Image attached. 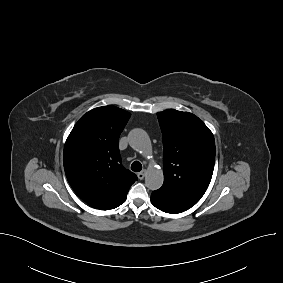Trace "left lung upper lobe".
<instances>
[{
	"instance_id": "5c2ea615",
	"label": "left lung upper lobe",
	"mask_w": 283,
	"mask_h": 283,
	"mask_svg": "<svg viewBox=\"0 0 283 283\" xmlns=\"http://www.w3.org/2000/svg\"><path fill=\"white\" fill-rule=\"evenodd\" d=\"M157 117L163 135L164 184L159 189L188 210L207 190L215 163L212 132L194 114L167 109Z\"/></svg>"
}]
</instances>
